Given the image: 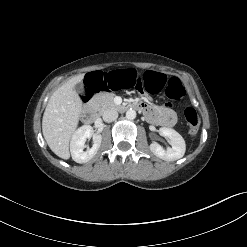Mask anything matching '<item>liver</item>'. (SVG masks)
<instances>
[{
    "label": "liver",
    "instance_id": "1",
    "mask_svg": "<svg viewBox=\"0 0 247 247\" xmlns=\"http://www.w3.org/2000/svg\"><path fill=\"white\" fill-rule=\"evenodd\" d=\"M83 74L75 76L59 87L50 97L42 119L43 136L50 149L60 158L69 159V142L82 112V100L75 86Z\"/></svg>",
    "mask_w": 247,
    "mask_h": 247
}]
</instances>
